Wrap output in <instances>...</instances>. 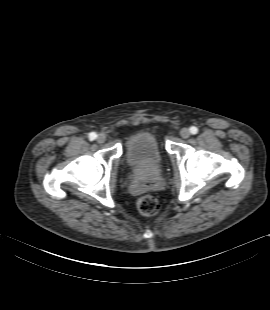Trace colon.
I'll list each match as a JSON object with an SVG mask.
<instances>
[{
    "label": "colon",
    "mask_w": 270,
    "mask_h": 310,
    "mask_svg": "<svg viewBox=\"0 0 270 310\" xmlns=\"http://www.w3.org/2000/svg\"><path fill=\"white\" fill-rule=\"evenodd\" d=\"M136 205L138 211L146 216L156 215L160 210L159 201L155 197L149 195L140 197Z\"/></svg>",
    "instance_id": "colon-1"
}]
</instances>
